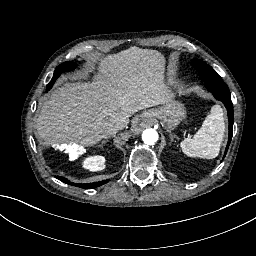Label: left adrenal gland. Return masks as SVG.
<instances>
[{"label": "left adrenal gland", "instance_id": "a2214340", "mask_svg": "<svg viewBox=\"0 0 256 256\" xmlns=\"http://www.w3.org/2000/svg\"><path fill=\"white\" fill-rule=\"evenodd\" d=\"M168 132H169V136H170L171 142L174 141V138L178 139L177 135L172 134L170 130H168Z\"/></svg>", "mask_w": 256, "mask_h": 256}]
</instances>
